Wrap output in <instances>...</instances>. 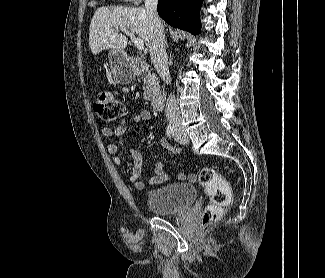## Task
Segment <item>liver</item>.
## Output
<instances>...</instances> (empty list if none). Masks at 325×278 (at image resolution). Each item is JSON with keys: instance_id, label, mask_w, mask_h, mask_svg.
Here are the masks:
<instances>
[{"instance_id": "liver-1", "label": "liver", "mask_w": 325, "mask_h": 278, "mask_svg": "<svg viewBox=\"0 0 325 278\" xmlns=\"http://www.w3.org/2000/svg\"><path fill=\"white\" fill-rule=\"evenodd\" d=\"M122 28L130 29L146 45L150 44L149 19L143 7H100L95 11L90 23L91 52L96 55L105 49L123 50L128 39L120 33Z\"/></svg>"}]
</instances>
